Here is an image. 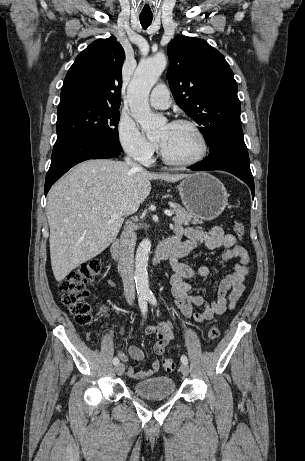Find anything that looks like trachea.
Segmentation results:
<instances>
[{
  "instance_id": "1",
  "label": "trachea",
  "mask_w": 305,
  "mask_h": 461,
  "mask_svg": "<svg viewBox=\"0 0 305 461\" xmlns=\"http://www.w3.org/2000/svg\"><path fill=\"white\" fill-rule=\"evenodd\" d=\"M152 18L140 17V23L144 29L148 28L151 25Z\"/></svg>"
}]
</instances>
